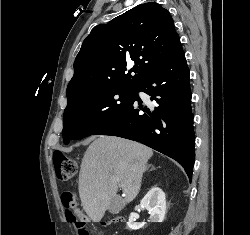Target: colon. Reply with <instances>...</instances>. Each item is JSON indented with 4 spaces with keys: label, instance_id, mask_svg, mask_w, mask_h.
<instances>
[{
    "label": "colon",
    "instance_id": "colon-1",
    "mask_svg": "<svg viewBox=\"0 0 250 235\" xmlns=\"http://www.w3.org/2000/svg\"><path fill=\"white\" fill-rule=\"evenodd\" d=\"M53 165L57 180L66 182L73 179L78 171V166L75 160L67 157L62 153L53 154ZM63 205L66 207V216L71 222H74L79 230V235H89V227L85 222L76 221L75 215V198L70 192H65L61 196ZM123 220L121 218H115L109 221V223H119Z\"/></svg>",
    "mask_w": 250,
    "mask_h": 235
}]
</instances>
